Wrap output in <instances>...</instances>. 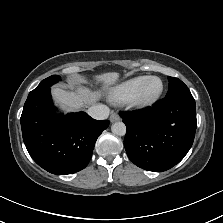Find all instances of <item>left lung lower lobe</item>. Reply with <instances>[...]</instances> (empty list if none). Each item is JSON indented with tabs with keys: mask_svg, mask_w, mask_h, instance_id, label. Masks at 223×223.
Returning a JSON list of instances; mask_svg holds the SVG:
<instances>
[{
	"mask_svg": "<svg viewBox=\"0 0 223 223\" xmlns=\"http://www.w3.org/2000/svg\"><path fill=\"white\" fill-rule=\"evenodd\" d=\"M119 115L127 127V155L145 170L172 168L193 144L197 127L194 98L165 97L152 107Z\"/></svg>",
	"mask_w": 223,
	"mask_h": 223,
	"instance_id": "left-lung-lower-lobe-1",
	"label": "left lung lower lobe"
}]
</instances>
